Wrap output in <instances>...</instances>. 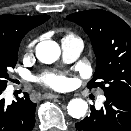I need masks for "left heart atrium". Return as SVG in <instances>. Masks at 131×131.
Returning a JSON list of instances; mask_svg holds the SVG:
<instances>
[{
  "instance_id": "obj_1",
  "label": "left heart atrium",
  "mask_w": 131,
  "mask_h": 131,
  "mask_svg": "<svg viewBox=\"0 0 131 131\" xmlns=\"http://www.w3.org/2000/svg\"><path fill=\"white\" fill-rule=\"evenodd\" d=\"M40 82L55 90H63L68 86V79L63 75L46 74L41 77Z\"/></svg>"
}]
</instances>
